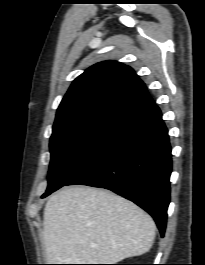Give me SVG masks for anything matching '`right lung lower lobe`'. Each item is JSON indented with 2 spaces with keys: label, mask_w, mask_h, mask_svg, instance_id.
<instances>
[{
  "label": "right lung lower lobe",
  "mask_w": 205,
  "mask_h": 265,
  "mask_svg": "<svg viewBox=\"0 0 205 265\" xmlns=\"http://www.w3.org/2000/svg\"><path fill=\"white\" fill-rule=\"evenodd\" d=\"M171 147L157 105L132 120L66 185L101 187L133 201L164 235L170 202Z\"/></svg>",
  "instance_id": "obj_1"
}]
</instances>
